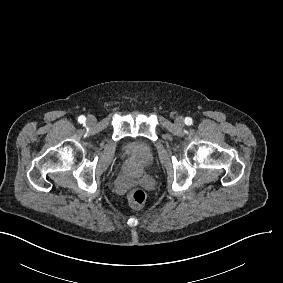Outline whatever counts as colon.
Masks as SVG:
<instances>
[{
  "label": "colon",
  "mask_w": 283,
  "mask_h": 283,
  "mask_svg": "<svg viewBox=\"0 0 283 283\" xmlns=\"http://www.w3.org/2000/svg\"><path fill=\"white\" fill-rule=\"evenodd\" d=\"M127 199L131 206L135 208H139L145 204L147 200V193L144 189L138 187V188L133 189L129 193Z\"/></svg>",
  "instance_id": "5ec220e1"
}]
</instances>
